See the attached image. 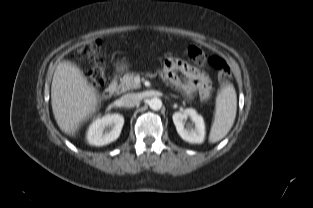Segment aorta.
<instances>
[{
    "mask_svg": "<svg viewBox=\"0 0 313 208\" xmlns=\"http://www.w3.org/2000/svg\"><path fill=\"white\" fill-rule=\"evenodd\" d=\"M149 106L152 110H160L162 107V101L159 98H152L149 101Z\"/></svg>",
    "mask_w": 313,
    "mask_h": 208,
    "instance_id": "aorta-1",
    "label": "aorta"
}]
</instances>
